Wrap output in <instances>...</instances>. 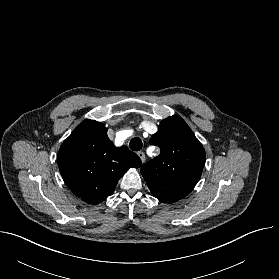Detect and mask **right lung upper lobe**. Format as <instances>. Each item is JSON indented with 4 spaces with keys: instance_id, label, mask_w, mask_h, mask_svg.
Returning <instances> with one entry per match:
<instances>
[{
    "instance_id": "obj_1",
    "label": "right lung upper lobe",
    "mask_w": 279,
    "mask_h": 279,
    "mask_svg": "<svg viewBox=\"0 0 279 279\" xmlns=\"http://www.w3.org/2000/svg\"><path fill=\"white\" fill-rule=\"evenodd\" d=\"M58 165L77 197L98 204L113 193L129 168H139L142 162L127 146L115 147L102 123L86 119L60 147Z\"/></svg>"
}]
</instances>
